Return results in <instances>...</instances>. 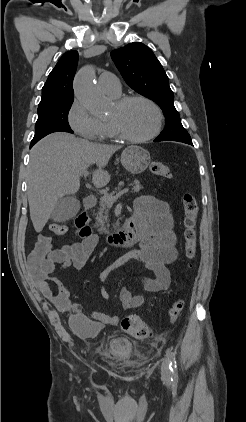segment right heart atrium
Masks as SVG:
<instances>
[{"instance_id": "obj_1", "label": "right heart atrium", "mask_w": 246, "mask_h": 422, "mask_svg": "<svg viewBox=\"0 0 246 422\" xmlns=\"http://www.w3.org/2000/svg\"><path fill=\"white\" fill-rule=\"evenodd\" d=\"M68 123L76 134L86 140L99 141L105 137L104 123L93 117L78 99L69 108Z\"/></svg>"}]
</instances>
